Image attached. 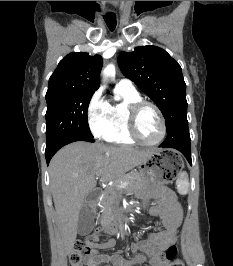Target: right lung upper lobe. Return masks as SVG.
Returning a JSON list of instances; mask_svg holds the SVG:
<instances>
[{
  "label": "right lung upper lobe",
  "instance_id": "obj_1",
  "mask_svg": "<svg viewBox=\"0 0 233 266\" xmlns=\"http://www.w3.org/2000/svg\"><path fill=\"white\" fill-rule=\"evenodd\" d=\"M99 55L72 52L58 64L49 79L46 98L73 93H94L99 88L102 69Z\"/></svg>",
  "mask_w": 233,
  "mask_h": 266
}]
</instances>
